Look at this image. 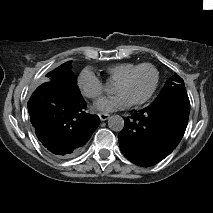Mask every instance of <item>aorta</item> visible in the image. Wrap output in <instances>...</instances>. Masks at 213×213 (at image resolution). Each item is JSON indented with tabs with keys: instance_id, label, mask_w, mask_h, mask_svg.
Segmentation results:
<instances>
[{
	"instance_id": "1",
	"label": "aorta",
	"mask_w": 213,
	"mask_h": 213,
	"mask_svg": "<svg viewBox=\"0 0 213 213\" xmlns=\"http://www.w3.org/2000/svg\"><path fill=\"white\" fill-rule=\"evenodd\" d=\"M108 127L114 132H121L124 128V119L120 115H112L108 118Z\"/></svg>"
}]
</instances>
